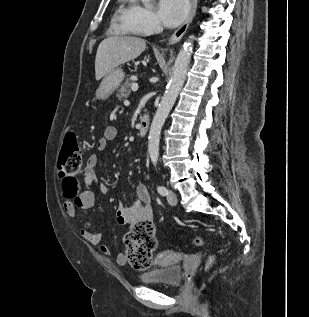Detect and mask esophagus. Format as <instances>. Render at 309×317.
Wrapping results in <instances>:
<instances>
[{
	"instance_id": "obj_1",
	"label": "esophagus",
	"mask_w": 309,
	"mask_h": 317,
	"mask_svg": "<svg viewBox=\"0 0 309 317\" xmlns=\"http://www.w3.org/2000/svg\"><path fill=\"white\" fill-rule=\"evenodd\" d=\"M197 1L198 0H191V8H190L189 15L187 19L185 20V22L171 35L168 41L169 45H173L179 42L181 38L183 37V35L185 34V32L187 31L188 26L192 22V19L196 13Z\"/></svg>"
}]
</instances>
